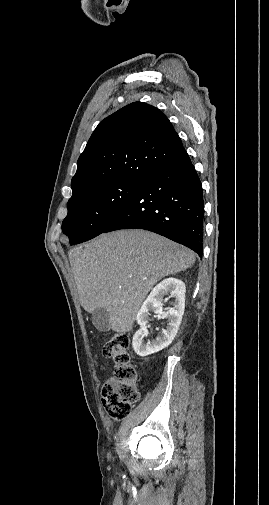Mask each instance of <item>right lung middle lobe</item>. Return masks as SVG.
<instances>
[{
    "instance_id": "dd1d6c3e",
    "label": "right lung middle lobe",
    "mask_w": 269,
    "mask_h": 505,
    "mask_svg": "<svg viewBox=\"0 0 269 505\" xmlns=\"http://www.w3.org/2000/svg\"><path fill=\"white\" fill-rule=\"evenodd\" d=\"M140 185L141 182H108L72 196L62 223L70 244L82 243L103 233Z\"/></svg>"
}]
</instances>
